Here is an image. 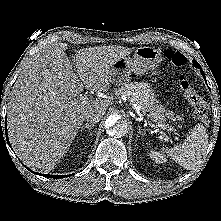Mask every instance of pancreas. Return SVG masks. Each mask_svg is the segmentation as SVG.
Returning a JSON list of instances; mask_svg holds the SVG:
<instances>
[{"label": "pancreas", "instance_id": "pancreas-1", "mask_svg": "<svg viewBox=\"0 0 221 221\" xmlns=\"http://www.w3.org/2000/svg\"><path fill=\"white\" fill-rule=\"evenodd\" d=\"M115 94L117 96L124 95L131 105L139 106L140 111L144 115L147 114L150 120L165 127L168 126L166 117L173 118V112L166 111L162 105L157 104L156 99L144 91L139 83H125L120 88L115 89Z\"/></svg>", "mask_w": 221, "mask_h": 221}]
</instances>
